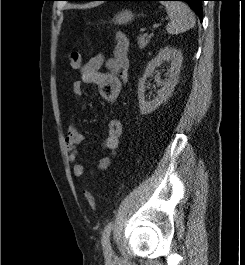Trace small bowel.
<instances>
[{"mask_svg":"<svg viewBox=\"0 0 245 265\" xmlns=\"http://www.w3.org/2000/svg\"><path fill=\"white\" fill-rule=\"evenodd\" d=\"M105 65L107 71H100ZM120 68L115 58L105 59L102 54L92 57L81 69L80 79L73 83L72 91L77 97H83L84 85H96L102 98L108 103L115 104L120 96L122 84L119 76ZM123 133V125L120 120L114 119L108 125V133L102 141L101 147L115 154L119 148ZM84 140L83 134L72 123L67 129L65 139L68 160L73 164V173L76 177H82L84 167L77 161V146ZM110 164V157H103L99 160L97 167L100 170L106 169Z\"/></svg>","mask_w":245,"mask_h":265,"instance_id":"1","label":"small bowel"}]
</instances>
